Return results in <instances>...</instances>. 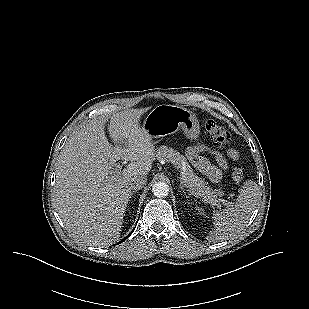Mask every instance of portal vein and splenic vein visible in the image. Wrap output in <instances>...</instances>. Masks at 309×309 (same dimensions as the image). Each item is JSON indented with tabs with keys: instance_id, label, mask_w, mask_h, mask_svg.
<instances>
[{
	"instance_id": "1",
	"label": "portal vein and splenic vein",
	"mask_w": 309,
	"mask_h": 309,
	"mask_svg": "<svg viewBox=\"0 0 309 309\" xmlns=\"http://www.w3.org/2000/svg\"><path fill=\"white\" fill-rule=\"evenodd\" d=\"M121 169H122V167L118 165V166L115 167L114 170H115L116 173H119V172H121ZM181 182L185 185V187L188 188V186H187V184H186V182H185V180L183 178H181Z\"/></svg>"
}]
</instances>
